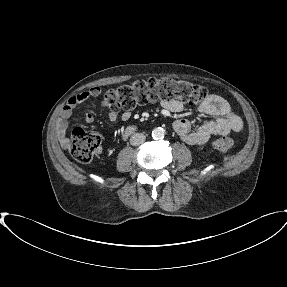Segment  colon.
<instances>
[{
	"label": "colon",
	"mask_w": 287,
	"mask_h": 287,
	"mask_svg": "<svg viewBox=\"0 0 287 287\" xmlns=\"http://www.w3.org/2000/svg\"><path fill=\"white\" fill-rule=\"evenodd\" d=\"M209 98L210 94L203 86L168 78H151L107 91L103 104L112 110L120 108L131 110L137 105L157 100H176L190 105H202ZM236 143V140L230 137H222L213 140L210 147L212 150L224 153L233 149ZM68 148L76 161L86 163L100 150L101 137L96 132L77 127L72 130Z\"/></svg>",
	"instance_id": "colon-1"
}]
</instances>
